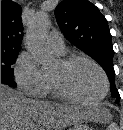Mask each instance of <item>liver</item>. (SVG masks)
Here are the masks:
<instances>
[{
    "label": "liver",
    "instance_id": "1",
    "mask_svg": "<svg viewBox=\"0 0 123 130\" xmlns=\"http://www.w3.org/2000/svg\"><path fill=\"white\" fill-rule=\"evenodd\" d=\"M98 119L96 107L34 100L1 84V130H62L75 123Z\"/></svg>",
    "mask_w": 123,
    "mask_h": 130
}]
</instances>
